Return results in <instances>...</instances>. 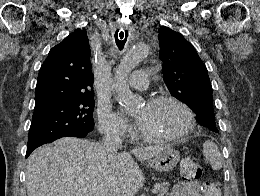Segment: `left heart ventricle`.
<instances>
[{"label": "left heart ventricle", "mask_w": 260, "mask_h": 196, "mask_svg": "<svg viewBox=\"0 0 260 196\" xmlns=\"http://www.w3.org/2000/svg\"><path fill=\"white\" fill-rule=\"evenodd\" d=\"M135 115L141 119L140 129L153 134L178 133L184 129L188 121L186 112L173 103L154 106L144 104ZM90 192H102V190H91Z\"/></svg>", "instance_id": "1"}]
</instances>
